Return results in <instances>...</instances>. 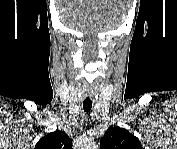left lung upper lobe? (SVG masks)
<instances>
[{
    "mask_svg": "<svg viewBox=\"0 0 177 149\" xmlns=\"http://www.w3.org/2000/svg\"><path fill=\"white\" fill-rule=\"evenodd\" d=\"M100 144L102 149H142L137 137L117 126L108 128Z\"/></svg>",
    "mask_w": 177,
    "mask_h": 149,
    "instance_id": "5c2ea615",
    "label": "left lung upper lobe"
}]
</instances>
